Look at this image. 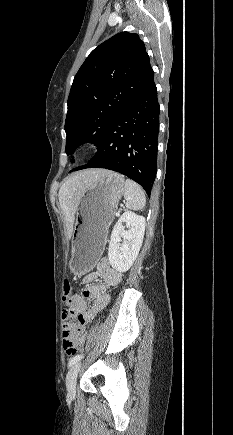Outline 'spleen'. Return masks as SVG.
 <instances>
[{
  "label": "spleen",
  "mask_w": 233,
  "mask_h": 435,
  "mask_svg": "<svg viewBox=\"0 0 233 435\" xmlns=\"http://www.w3.org/2000/svg\"><path fill=\"white\" fill-rule=\"evenodd\" d=\"M124 197L126 207L132 210H142L146 204L145 192L142 187L131 179L125 181Z\"/></svg>",
  "instance_id": "spleen-1"
}]
</instances>
